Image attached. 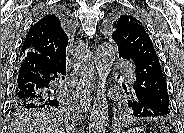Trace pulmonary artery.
Listing matches in <instances>:
<instances>
[{"label": "pulmonary artery", "mask_w": 184, "mask_h": 133, "mask_svg": "<svg viewBox=\"0 0 184 133\" xmlns=\"http://www.w3.org/2000/svg\"><path fill=\"white\" fill-rule=\"evenodd\" d=\"M130 67H131V65L125 61H118L117 64L115 65V68H117V69L122 68V69L128 70V69H130ZM127 77L129 79V81H131V82L134 80V74L132 72H129L127 74Z\"/></svg>", "instance_id": "1"}]
</instances>
